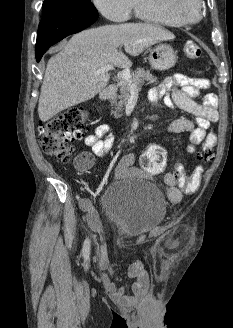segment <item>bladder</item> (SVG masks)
<instances>
[{
  "instance_id": "obj_1",
  "label": "bladder",
  "mask_w": 233,
  "mask_h": 328,
  "mask_svg": "<svg viewBox=\"0 0 233 328\" xmlns=\"http://www.w3.org/2000/svg\"><path fill=\"white\" fill-rule=\"evenodd\" d=\"M103 213L118 234L136 238L158 226L167 213L162 191L146 180H122L110 184L100 198Z\"/></svg>"
}]
</instances>
